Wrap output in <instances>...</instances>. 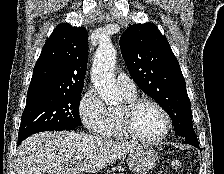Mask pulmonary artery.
<instances>
[{
	"mask_svg": "<svg viewBox=\"0 0 224 174\" xmlns=\"http://www.w3.org/2000/svg\"><path fill=\"white\" fill-rule=\"evenodd\" d=\"M116 82L120 90L127 96L136 95V85L135 83L125 74H118Z\"/></svg>",
	"mask_w": 224,
	"mask_h": 174,
	"instance_id": "obj_1",
	"label": "pulmonary artery"
}]
</instances>
